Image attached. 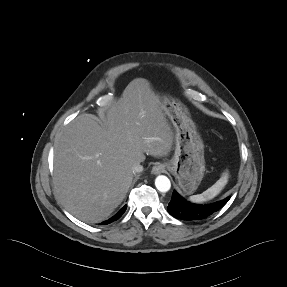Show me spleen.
Here are the masks:
<instances>
[{
    "label": "spleen",
    "instance_id": "3e777b00",
    "mask_svg": "<svg viewBox=\"0 0 287 287\" xmlns=\"http://www.w3.org/2000/svg\"><path fill=\"white\" fill-rule=\"evenodd\" d=\"M228 178H229V174L226 171L222 174L220 179L217 180L216 183L213 184L210 188H208L206 191H204L201 194L190 196L189 200L194 203H201V202H205V201L213 199L225 187V185L228 182Z\"/></svg>",
    "mask_w": 287,
    "mask_h": 287
}]
</instances>
